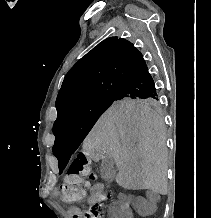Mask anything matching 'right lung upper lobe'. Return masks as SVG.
I'll use <instances>...</instances> for the list:
<instances>
[{
  "label": "right lung upper lobe",
  "mask_w": 211,
  "mask_h": 218,
  "mask_svg": "<svg viewBox=\"0 0 211 218\" xmlns=\"http://www.w3.org/2000/svg\"><path fill=\"white\" fill-rule=\"evenodd\" d=\"M144 64L142 54L129 41L104 40L66 74L56 99L58 115L88 99L117 94Z\"/></svg>",
  "instance_id": "cb5924a9"
}]
</instances>
